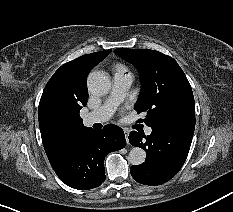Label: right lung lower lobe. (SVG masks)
Instances as JSON below:
<instances>
[{
	"mask_svg": "<svg viewBox=\"0 0 233 212\" xmlns=\"http://www.w3.org/2000/svg\"><path fill=\"white\" fill-rule=\"evenodd\" d=\"M126 145L123 130L108 124L101 130L87 128L74 140L68 151L51 166L69 187L87 190L100 186L105 180L104 159Z\"/></svg>",
	"mask_w": 233,
	"mask_h": 212,
	"instance_id": "1",
	"label": "right lung lower lobe"
}]
</instances>
